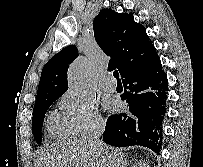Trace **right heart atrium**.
<instances>
[{"instance_id":"right-heart-atrium-1","label":"right heart atrium","mask_w":203,"mask_h":167,"mask_svg":"<svg viewBox=\"0 0 203 167\" xmlns=\"http://www.w3.org/2000/svg\"><path fill=\"white\" fill-rule=\"evenodd\" d=\"M60 110L64 125L71 135L80 136L105 125L96 101L89 97L67 92L60 100Z\"/></svg>"}]
</instances>
